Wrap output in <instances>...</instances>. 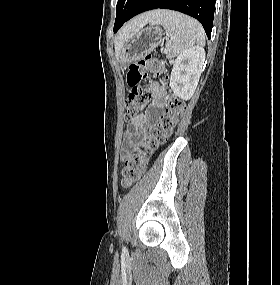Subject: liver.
<instances>
[{
    "instance_id": "1",
    "label": "liver",
    "mask_w": 280,
    "mask_h": 285,
    "mask_svg": "<svg viewBox=\"0 0 280 285\" xmlns=\"http://www.w3.org/2000/svg\"><path fill=\"white\" fill-rule=\"evenodd\" d=\"M155 17H156V11L144 13L133 18L126 25H124L115 38L116 55L117 56L119 55L124 42L128 38H130L134 33L142 29L147 23H150V21L153 20Z\"/></svg>"
}]
</instances>
